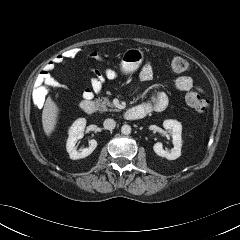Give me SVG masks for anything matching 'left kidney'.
<instances>
[{"mask_svg": "<svg viewBox=\"0 0 240 240\" xmlns=\"http://www.w3.org/2000/svg\"><path fill=\"white\" fill-rule=\"evenodd\" d=\"M163 127L165 130H168L173 139L174 148L171 152L164 150L161 142H157L153 146L154 152L161 157H165L168 160H175L181 156V147H182V125L177 120H165L163 122Z\"/></svg>", "mask_w": 240, "mask_h": 240, "instance_id": "1", "label": "left kidney"}]
</instances>
